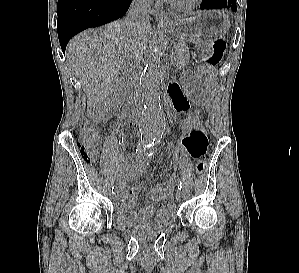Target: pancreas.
<instances>
[{
  "mask_svg": "<svg viewBox=\"0 0 299 273\" xmlns=\"http://www.w3.org/2000/svg\"><path fill=\"white\" fill-rule=\"evenodd\" d=\"M189 49L185 43H179L175 46V53L172 62L177 67H184L189 61Z\"/></svg>",
  "mask_w": 299,
  "mask_h": 273,
  "instance_id": "1",
  "label": "pancreas"
}]
</instances>
